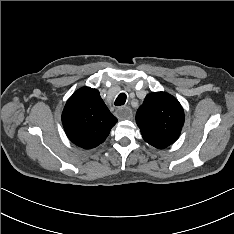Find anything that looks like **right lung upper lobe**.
<instances>
[{
    "label": "right lung upper lobe",
    "mask_w": 234,
    "mask_h": 234,
    "mask_svg": "<svg viewBox=\"0 0 234 234\" xmlns=\"http://www.w3.org/2000/svg\"><path fill=\"white\" fill-rule=\"evenodd\" d=\"M117 118L109 111L99 91L90 87L78 89L67 101L62 124L68 138L84 149L103 143Z\"/></svg>",
    "instance_id": "obj_1"
}]
</instances>
